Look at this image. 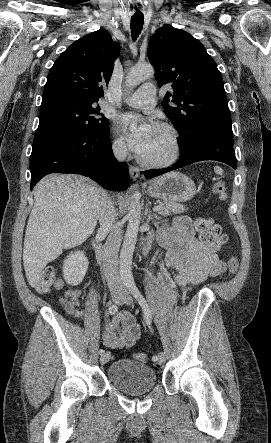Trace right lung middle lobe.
Wrapping results in <instances>:
<instances>
[{"instance_id": "1", "label": "right lung middle lobe", "mask_w": 271, "mask_h": 443, "mask_svg": "<svg viewBox=\"0 0 271 443\" xmlns=\"http://www.w3.org/2000/svg\"><path fill=\"white\" fill-rule=\"evenodd\" d=\"M94 103L75 99H56L41 104L40 122L35 135L50 129H65L84 134L109 127V121Z\"/></svg>"}]
</instances>
